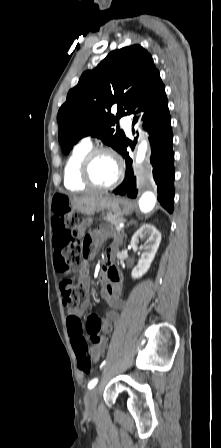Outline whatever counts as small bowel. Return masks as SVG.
<instances>
[{
	"instance_id": "obj_1",
	"label": "small bowel",
	"mask_w": 221,
	"mask_h": 448,
	"mask_svg": "<svg viewBox=\"0 0 221 448\" xmlns=\"http://www.w3.org/2000/svg\"><path fill=\"white\" fill-rule=\"evenodd\" d=\"M59 217L54 213L52 215V228L53 233L55 234V230L53 227L54 220L58 219ZM87 223H83L79 228L78 232L81 233ZM92 250L95 251L98 247V245L101 243L102 238L98 234H94L92 238H90ZM54 247V243H53ZM116 242H113L107 250V264L105 265L103 276L108 280V283L103 287L102 289V298L103 301L106 303V305L109 307V310L106 312V314L100 319L101 322V328L100 330L103 332L104 336L102 337V341L93 347L89 349L90 356L93 361H98L102 354L105 351V335L109 334L113 329V324L118 321L119 315L117 313V310L123 309L125 307V302L121 298L122 294V284H121V275L118 269L113 265V253L115 252ZM79 282L85 286L89 287V280H88V271L87 269H82ZM91 300H87L81 307L74 308L68 311L69 317H76L80 319L84 311L90 306ZM72 347L74 350L73 340L70 336ZM80 340L86 341V338L82 334L79 337ZM75 352V350H74Z\"/></svg>"
}]
</instances>
